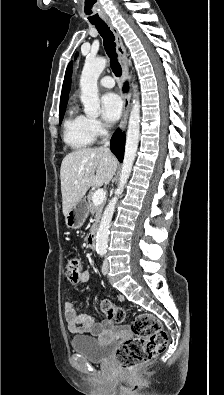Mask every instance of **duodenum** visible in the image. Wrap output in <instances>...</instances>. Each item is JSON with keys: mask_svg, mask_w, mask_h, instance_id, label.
Returning <instances> with one entry per match:
<instances>
[{"mask_svg": "<svg viewBox=\"0 0 224 395\" xmlns=\"http://www.w3.org/2000/svg\"><path fill=\"white\" fill-rule=\"evenodd\" d=\"M99 231V224L98 222H94L90 231V234L87 239V243L89 248L95 249L96 248V241H97V233Z\"/></svg>", "mask_w": 224, "mask_h": 395, "instance_id": "1", "label": "duodenum"}]
</instances>
